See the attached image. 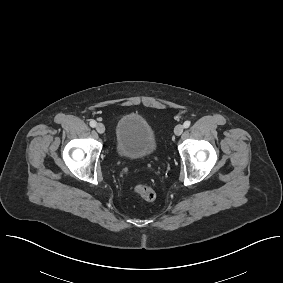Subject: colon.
<instances>
[{"mask_svg": "<svg viewBox=\"0 0 283 283\" xmlns=\"http://www.w3.org/2000/svg\"><path fill=\"white\" fill-rule=\"evenodd\" d=\"M134 191L147 201H153L157 196L155 189L151 185L143 182L137 183L134 186Z\"/></svg>", "mask_w": 283, "mask_h": 283, "instance_id": "colon-1", "label": "colon"}]
</instances>
